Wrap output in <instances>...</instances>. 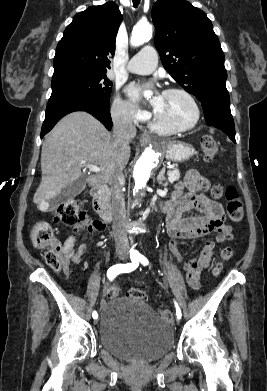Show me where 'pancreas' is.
Instances as JSON below:
<instances>
[{"mask_svg": "<svg viewBox=\"0 0 267 391\" xmlns=\"http://www.w3.org/2000/svg\"><path fill=\"white\" fill-rule=\"evenodd\" d=\"M167 175H168V181L170 183H174L180 178V172L178 168L174 166H172L171 170L168 171Z\"/></svg>", "mask_w": 267, "mask_h": 391, "instance_id": "cf45deb5", "label": "pancreas"}]
</instances>
